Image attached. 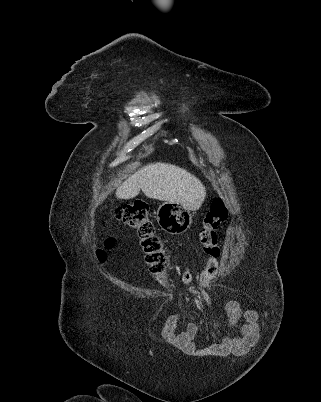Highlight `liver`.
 I'll return each instance as SVG.
<instances>
[{
	"mask_svg": "<svg viewBox=\"0 0 321 402\" xmlns=\"http://www.w3.org/2000/svg\"><path fill=\"white\" fill-rule=\"evenodd\" d=\"M140 190L148 197L182 204L189 210L201 207L206 190L187 170L167 163H153L131 175L116 190L119 199L136 197Z\"/></svg>",
	"mask_w": 321,
	"mask_h": 402,
	"instance_id": "1",
	"label": "liver"
}]
</instances>
